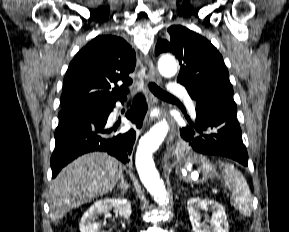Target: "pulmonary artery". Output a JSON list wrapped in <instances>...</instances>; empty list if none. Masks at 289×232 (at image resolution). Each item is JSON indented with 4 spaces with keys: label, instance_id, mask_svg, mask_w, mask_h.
I'll use <instances>...</instances> for the list:
<instances>
[{
    "label": "pulmonary artery",
    "instance_id": "pulmonary-artery-1",
    "mask_svg": "<svg viewBox=\"0 0 289 232\" xmlns=\"http://www.w3.org/2000/svg\"><path fill=\"white\" fill-rule=\"evenodd\" d=\"M167 89H168V92L171 93V94L181 95L185 99V101H186L188 107L190 108L191 112H193V113L195 112V106L193 104V101L190 98V96L188 95V93H187V91H186L184 86H182L181 84L176 83V82H170L168 84Z\"/></svg>",
    "mask_w": 289,
    "mask_h": 232
}]
</instances>
